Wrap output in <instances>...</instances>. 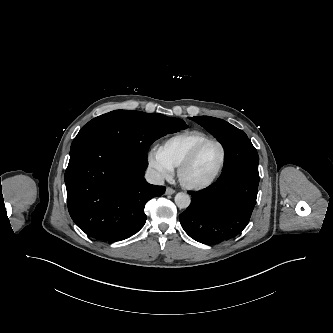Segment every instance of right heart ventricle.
Segmentation results:
<instances>
[{
  "label": "right heart ventricle",
  "mask_w": 333,
  "mask_h": 333,
  "mask_svg": "<svg viewBox=\"0 0 333 333\" xmlns=\"http://www.w3.org/2000/svg\"><path fill=\"white\" fill-rule=\"evenodd\" d=\"M208 138L204 132L189 130L168 138L161 144L159 150L173 167H179L190 151L199 142Z\"/></svg>",
  "instance_id": "1"
}]
</instances>
